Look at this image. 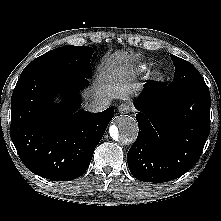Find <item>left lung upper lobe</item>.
<instances>
[{
  "label": "left lung upper lobe",
  "instance_id": "obj_1",
  "mask_svg": "<svg viewBox=\"0 0 221 221\" xmlns=\"http://www.w3.org/2000/svg\"><path fill=\"white\" fill-rule=\"evenodd\" d=\"M175 66V75L173 81L168 85L172 89L184 87L205 85V81L197 69L188 61L170 54Z\"/></svg>",
  "mask_w": 221,
  "mask_h": 221
}]
</instances>
